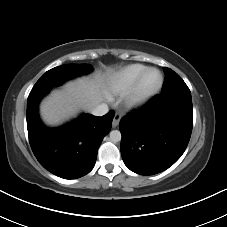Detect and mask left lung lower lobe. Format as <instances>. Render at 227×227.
<instances>
[{"label": "left lung lower lobe", "instance_id": "left-lung-lower-lobe-1", "mask_svg": "<svg viewBox=\"0 0 227 227\" xmlns=\"http://www.w3.org/2000/svg\"><path fill=\"white\" fill-rule=\"evenodd\" d=\"M192 126L191 95H156L120 121L125 165L140 175L166 170L184 153Z\"/></svg>", "mask_w": 227, "mask_h": 227}]
</instances>
